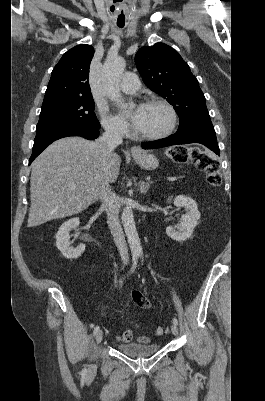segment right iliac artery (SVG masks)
<instances>
[{
    "label": "right iliac artery",
    "mask_w": 265,
    "mask_h": 401,
    "mask_svg": "<svg viewBox=\"0 0 265 401\" xmlns=\"http://www.w3.org/2000/svg\"><path fill=\"white\" fill-rule=\"evenodd\" d=\"M136 265H137V257H133V265H132V268H131L129 274L133 273V271H134L135 268H136ZM98 331H99V326H96V327L94 328L93 335H96V333H97ZM82 374H83V375H86V374H87V369H86V368H84V369L82 370Z\"/></svg>",
    "instance_id": "right-iliac-artery-1"
}]
</instances>
